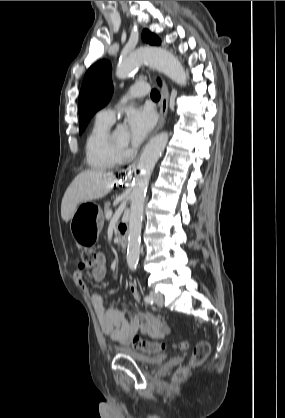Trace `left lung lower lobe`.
Wrapping results in <instances>:
<instances>
[{
	"label": "left lung lower lobe",
	"instance_id": "left-lung-lower-lobe-1",
	"mask_svg": "<svg viewBox=\"0 0 285 418\" xmlns=\"http://www.w3.org/2000/svg\"><path fill=\"white\" fill-rule=\"evenodd\" d=\"M158 83H159V84L161 83L159 79H158Z\"/></svg>",
	"mask_w": 285,
	"mask_h": 418
}]
</instances>
